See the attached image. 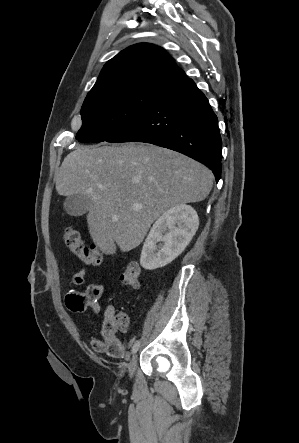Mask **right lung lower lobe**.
Wrapping results in <instances>:
<instances>
[{
	"mask_svg": "<svg viewBox=\"0 0 299 443\" xmlns=\"http://www.w3.org/2000/svg\"><path fill=\"white\" fill-rule=\"evenodd\" d=\"M107 142H145L183 153L221 176L217 117L194 81L185 78L165 90L138 119Z\"/></svg>",
	"mask_w": 299,
	"mask_h": 443,
	"instance_id": "obj_1",
	"label": "right lung lower lobe"
}]
</instances>
